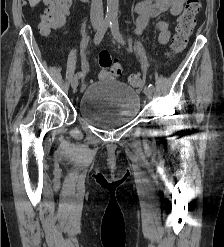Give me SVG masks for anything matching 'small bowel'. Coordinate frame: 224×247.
<instances>
[{
  "mask_svg": "<svg viewBox=\"0 0 224 247\" xmlns=\"http://www.w3.org/2000/svg\"><path fill=\"white\" fill-rule=\"evenodd\" d=\"M185 0H142L137 3L135 11L138 15L135 25V33L141 34L147 27L150 19L155 18L163 12H169L172 16L181 14ZM158 31V41L161 44H167L170 39L168 23L159 20L156 23ZM103 76L106 73L102 74Z\"/></svg>",
  "mask_w": 224,
  "mask_h": 247,
  "instance_id": "small-bowel-1",
  "label": "small bowel"
}]
</instances>
